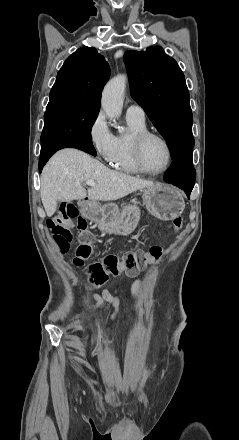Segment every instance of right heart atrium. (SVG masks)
<instances>
[{"label":"right heart atrium","instance_id":"obj_1","mask_svg":"<svg viewBox=\"0 0 239 440\" xmlns=\"http://www.w3.org/2000/svg\"><path fill=\"white\" fill-rule=\"evenodd\" d=\"M87 137L93 150L102 160H113L117 151V137L110 130L103 111H99L90 122Z\"/></svg>","mask_w":239,"mask_h":440}]
</instances>
